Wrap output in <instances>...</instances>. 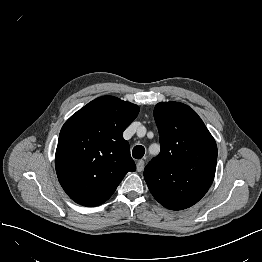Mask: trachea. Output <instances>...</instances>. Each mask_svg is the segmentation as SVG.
Returning a JSON list of instances; mask_svg holds the SVG:
<instances>
[{
    "label": "trachea",
    "instance_id": "obj_1",
    "mask_svg": "<svg viewBox=\"0 0 262 262\" xmlns=\"http://www.w3.org/2000/svg\"><path fill=\"white\" fill-rule=\"evenodd\" d=\"M145 154V148L141 145H137L133 148L132 155L135 159H141Z\"/></svg>",
    "mask_w": 262,
    "mask_h": 262
}]
</instances>
